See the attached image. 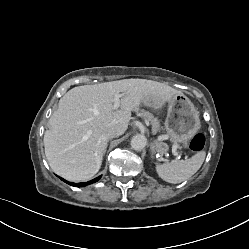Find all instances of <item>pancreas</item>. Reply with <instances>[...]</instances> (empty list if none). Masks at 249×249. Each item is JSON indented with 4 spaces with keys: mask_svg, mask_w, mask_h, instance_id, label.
Returning a JSON list of instances; mask_svg holds the SVG:
<instances>
[{
    "mask_svg": "<svg viewBox=\"0 0 249 249\" xmlns=\"http://www.w3.org/2000/svg\"><path fill=\"white\" fill-rule=\"evenodd\" d=\"M135 111H138V110H135ZM140 114H141L142 116H144L145 118H147V119L151 122V124H152V130H153L154 132H157V131H160V130H161L159 121H158L156 118H154V116H153L151 113L142 110V111L140 112Z\"/></svg>",
    "mask_w": 249,
    "mask_h": 249,
    "instance_id": "obj_1",
    "label": "pancreas"
}]
</instances>
